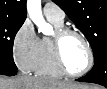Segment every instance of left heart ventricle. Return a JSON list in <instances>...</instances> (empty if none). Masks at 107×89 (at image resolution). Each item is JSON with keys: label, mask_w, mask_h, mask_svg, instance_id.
<instances>
[{"label": "left heart ventricle", "mask_w": 107, "mask_h": 89, "mask_svg": "<svg viewBox=\"0 0 107 89\" xmlns=\"http://www.w3.org/2000/svg\"><path fill=\"white\" fill-rule=\"evenodd\" d=\"M62 55L70 72L82 71L88 63V52L82 40L74 35L68 36L62 44Z\"/></svg>", "instance_id": "b2bd125f"}]
</instances>
